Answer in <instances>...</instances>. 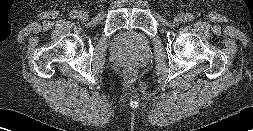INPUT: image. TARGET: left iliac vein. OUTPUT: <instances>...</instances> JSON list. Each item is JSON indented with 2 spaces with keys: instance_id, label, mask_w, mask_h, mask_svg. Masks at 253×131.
Segmentation results:
<instances>
[{
  "instance_id": "obj_1",
  "label": "left iliac vein",
  "mask_w": 253,
  "mask_h": 131,
  "mask_svg": "<svg viewBox=\"0 0 253 131\" xmlns=\"http://www.w3.org/2000/svg\"><path fill=\"white\" fill-rule=\"evenodd\" d=\"M185 20V15L183 14H177L175 17H174V21L176 23H181Z\"/></svg>"
}]
</instances>
